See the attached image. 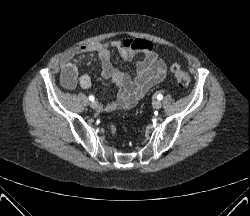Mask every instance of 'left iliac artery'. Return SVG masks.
Returning <instances> with one entry per match:
<instances>
[{"label":"left iliac artery","mask_w":250,"mask_h":216,"mask_svg":"<svg viewBox=\"0 0 250 216\" xmlns=\"http://www.w3.org/2000/svg\"><path fill=\"white\" fill-rule=\"evenodd\" d=\"M162 98H163V96H162L161 94H159V95L157 96V99H158V100H162Z\"/></svg>","instance_id":"obj_1"}]
</instances>
